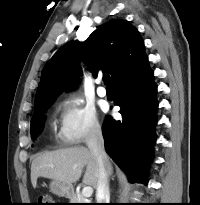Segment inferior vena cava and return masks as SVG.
Segmentation results:
<instances>
[{"mask_svg":"<svg viewBox=\"0 0 200 205\" xmlns=\"http://www.w3.org/2000/svg\"><path fill=\"white\" fill-rule=\"evenodd\" d=\"M87 146L96 159L98 165V185L96 189L97 203H109V171L108 158L104 149V139L100 126L91 128Z\"/></svg>","mask_w":200,"mask_h":205,"instance_id":"1","label":"inferior vena cava"}]
</instances>
